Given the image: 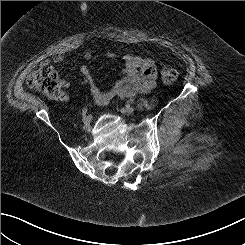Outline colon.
Instances as JSON below:
<instances>
[{
    "instance_id": "1",
    "label": "colon",
    "mask_w": 245,
    "mask_h": 245,
    "mask_svg": "<svg viewBox=\"0 0 245 245\" xmlns=\"http://www.w3.org/2000/svg\"><path fill=\"white\" fill-rule=\"evenodd\" d=\"M178 72L173 68H163L161 80L164 85L169 86L176 82ZM27 85L38 92L51 98H58L61 91L58 86V76L56 71L49 64H43L33 71L27 78Z\"/></svg>"
}]
</instances>
